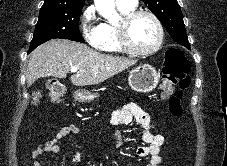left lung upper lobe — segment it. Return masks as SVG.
<instances>
[{
	"mask_svg": "<svg viewBox=\"0 0 227 166\" xmlns=\"http://www.w3.org/2000/svg\"><path fill=\"white\" fill-rule=\"evenodd\" d=\"M166 27L171 38L187 48L190 43L186 35L183 15L176 0H142Z\"/></svg>",
	"mask_w": 227,
	"mask_h": 166,
	"instance_id": "5c2ea615",
	"label": "left lung upper lobe"
}]
</instances>
